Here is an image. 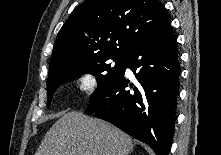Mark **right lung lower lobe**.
<instances>
[{
	"instance_id": "obj_1",
	"label": "right lung lower lobe",
	"mask_w": 221,
	"mask_h": 155,
	"mask_svg": "<svg viewBox=\"0 0 221 155\" xmlns=\"http://www.w3.org/2000/svg\"><path fill=\"white\" fill-rule=\"evenodd\" d=\"M126 68L135 75L134 87L124 77ZM179 74L177 39L169 25L142 38L131 49L121 74L91 101L85 113H94L148 144L156 155H168L174 134ZM128 87H133V91Z\"/></svg>"
}]
</instances>
